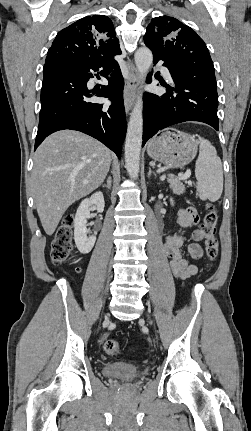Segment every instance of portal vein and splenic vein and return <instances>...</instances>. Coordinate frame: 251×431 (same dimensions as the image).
<instances>
[{
	"label": "portal vein and splenic vein",
	"mask_w": 251,
	"mask_h": 431,
	"mask_svg": "<svg viewBox=\"0 0 251 431\" xmlns=\"http://www.w3.org/2000/svg\"><path fill=\"white\" fill-rule=\"evenodd\" d=\"M190 175H191L190 170H187L185 174L178 176L177 179H179V180H186V179H188L190 177ZM170 177L173 178V175H170ZM84 183H87V181H85Z\"/></svg>",
	"instance_id": "1"
}]
</instances>
